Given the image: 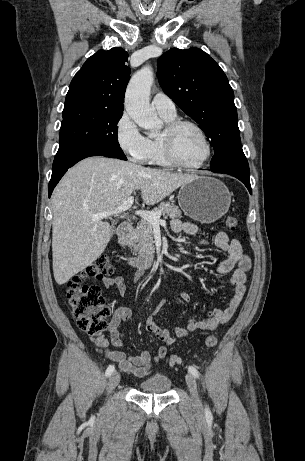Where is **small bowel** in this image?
<instances>
[{"label":"small bowel","mask_w":305,"mask_h":461,"mask_svg":"<svg viewBox=\"0 0 305 461\" xmlns=\"http://www.w3.org/2000/svg\"><path fill=\"white\" fill-rule=\"evenodd\" d=\"M171 228L176 234L186 233L194 235L198 231V227L194 223L179 219H174L171 222ZM200 244L206 245L208 241L201 240ZM214 244L218 249L227 254V257L215 268V273L218 275L231 274L230 284L233 287V295L227 307L224 309H214L202 319L192 318L188 321L185 328L175 327L174 335H171L167 329L160 327L156 320L157 315L167 302L166 298L161 299L154 311L146 318V330L156 335L163 343L158 348L153 359L148 351H143L135 356H127L122 351L112 349L121 347L124 344V333L121 331L120 325L128 321L132 315L129 307H118L109 321L107 333L97 336L95 342L98 347L105 351L107 358L118 365L121 371L131 373L138 378H146L152 373L154 367L166 357L167 346L172 345L176 337H185L190 332L196 330L212 331L231 319L245 295L246 273L251 267V261L243 252L239 240L230 239L224 232L216 234ZM139 276L140 273L137 274V277ZM102 284L105 288L115 287L120 296H124L127 290L125 280L122 276L106 277L102 280ZM182 298L185 301H190V296L187 293H182Z\"/></svg>","instance_id":"1"}]
</instances>
